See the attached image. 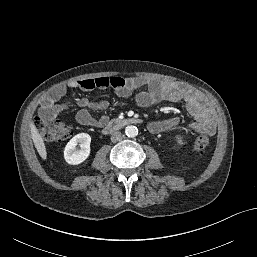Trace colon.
I'll list each match as a JSON object with an SVG mask.
<instances>
[{
	"mask_svg": "<svg viewBox=\"0 0 257 257\" xmlns=\"http://www.w3.org/2000/svg\"><path fill=\"white\" fill-rule=\"evenodd\" d=\"M35 126L41 136L47 141H62L71 135V129L67 123L57 118L54 114L43 112L41 116L36 117ZM209 145V133L204 132L195 143L196 151H203Z\"/></svg>",
	"mask_w": 257,
	"mask_h": 257,
	"instance_id": "obj_1",
	"label": "colon"
}]
</instances>
